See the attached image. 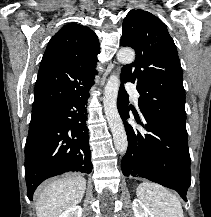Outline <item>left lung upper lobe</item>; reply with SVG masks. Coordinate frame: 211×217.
<instances>
[{"mask_svg":"<svg viewBox=\"0 0 211 217\" xmlns=\"http://www.w3.org/2000/svg\"><path fill=\"white\" fill-rule=\"evenodd\" d=\"M121 46L132 47L135 61L122 68L121 81H136L142 113L186 127L182 68L164 23L144 10H131L122 25Z\"/></svg>","mask_w":211,"mask_h":217,"instance_id":"5c2ea615","label":"left lung upper lobe"}]
</instances>
